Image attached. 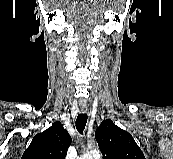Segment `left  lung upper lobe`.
<instances>
[{
  "label": "left lung upper lobe",
  "mask_w": 173,
  "mask_h": 159,
  "mask_svg": "<svg viewBox=\"0 0 173 159\" xmlns=\"http://www.w3.org/2000/svg\"><path fill=\"white\" fill-rule=\"evenodd\" d=\"M95 138L103 159H145L133 137L110 119L97 128Z\"/></svg>",
  "instance_id": "1"
}]
</instances>
